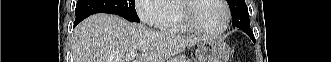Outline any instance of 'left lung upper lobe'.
Returning a JSON list of instances; mask_svg holds the SVG:
<instances>
[{"instance_id": "obj_1", "label": "left lung upper lobe", "mask_w": 331, "mask_h": 62, "mask_svg": "<svg viewBox=\"0 0 331 62\" xmlns=\"http://www.w3.org/2000/svg\"><path fill=\"white\" fill-rule=\"evenodd\" d=\"M226 1L228 2L231 10L232 25H236L240 29L245 30V32L253 34L250 28L249 13L247 6L245 4V0H226Z\"/></svg>"}]
</instances>
